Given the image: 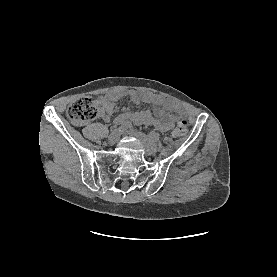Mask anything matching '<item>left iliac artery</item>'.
I'll use <instances>...</instances> for the list:
<instances>
[{
    "instance_id": "left-iliac-artery-1",
    "label": "left iliac artery",
    "mask_w": 277,
    "mask_h": 277,
    "mask_svg": "<svg viewBox=\"0 0 277 277\" xmlns=\"http://www.w3.org/2000/svg\"><path fill=\"white\" fill-rule=\"evenodd\" d=\"M149 136L154 141H159V139H160V135L158 133L154 132V131H151L149 133Z\"/></svg>"
}]
</instances>
